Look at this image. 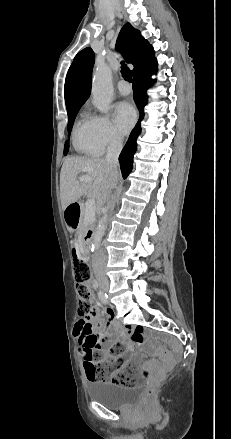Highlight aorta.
I'll return each instance as SVG.
<instances>
[{"label":"aorta","mask_w":231,"mask_h":439,"mask_svg":"<svg viewBox=\"0 0 231 439\" xmlns=\"http://www.w3.org/2000/svg\"><path fill=\"white\" fill-rule=\"evenodd\" d=\"M92 97L94 106L101 113L105 114L109 111L110 104L113 98L112 71L110 67L103 62L98 63L93 76ZM110 207L111 205H108L106 207L105 214L98 222L97 228L93 234V240L91 242L92 250L97 249L102 240V237L107 227V212Z\"/></svg>","instance_id":"762f6f07"}]
</instances>
